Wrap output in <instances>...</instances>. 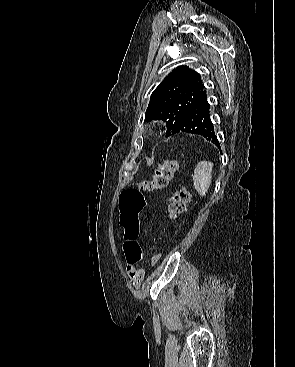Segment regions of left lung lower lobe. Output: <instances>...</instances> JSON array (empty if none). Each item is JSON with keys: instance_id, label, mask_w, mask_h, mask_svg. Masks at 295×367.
<instances>
[{"instance_id": "obj_1", "label": "left lung lower lobe", "mask_w": 295, "mask_h": 367, "mask_svg": "<svg viewBox=\"0 0 295 367\" xmlns=\"http://www.w3.org/2000/svg\"><path fill=\"white\" fill-rule=\"evenodd\" d=\"M177 133L200 135L220 149L214 125L210 118V105L207 101L206 91L201 94L180 124L174 129L173 134Z\"/></svg>"}]
</instances>
